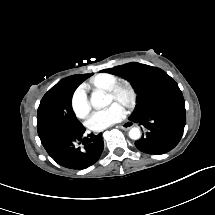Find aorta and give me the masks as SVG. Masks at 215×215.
Wrapping results in <instances>:
<instances>
[{
	"label": "aorta",
	"mask_w": 215,
	"mask_h": 215,
	"mask_svg": "<svg viewBox=\"0 0 215 215\" xmlns=\"http://www.w3.org/2000/svg\"><path fill=\"white\" fill-rule=\"evenodd\" d=\"M112 102V97L104 91L98 90L93 92L91 95V104L94 108H103L110 105ZM129 137L133 140H138L141 137V131L137 127H133L129 130Z\"/></svg>",
	"instance_id": "obj_1"
}]
</instances>
